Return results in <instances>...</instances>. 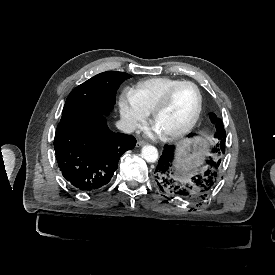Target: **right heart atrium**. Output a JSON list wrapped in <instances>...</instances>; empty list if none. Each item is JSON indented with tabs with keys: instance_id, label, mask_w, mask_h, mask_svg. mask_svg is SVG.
Wrapping results in <instances>:
<instances>
[{
	"instance_id": "right-heart-atrium-1",
	"label": "right heart atrium",
	"mask_w": 275,
	"mask_h": 275,
	"mask_svg": "<svg viewBox=\"0 0 275 275\" xmlns=\"http://www.w3.org/2000/svg\"><path fill=\"white\" fill-rule=\"evenodd\" d=\"M119 107L122 120L130 131L141 127L149 117V111L140 104L134 91L128 90L121 95Z\"/></svg>"
}]
</instances>
